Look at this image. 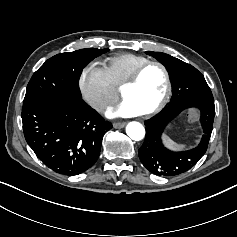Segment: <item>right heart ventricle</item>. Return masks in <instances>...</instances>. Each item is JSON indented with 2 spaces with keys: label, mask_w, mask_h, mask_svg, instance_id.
I'll return each mask as SVG.
<instances>
[{
  "label": "right heart ventricle",
  "mask_w": 237,
  "mask_h": 237,
  "mask_svg": "<svg viewBox=\"0 0 237 237\" xmlns=\"http://www.w3.org/2000/svg\"><path fill=\"white\" fill-rule=\"evenodd\" d=\"M149 61L144 56L123 53L107 58L104 69L112 85L121 87L140 66Z\"/></svg>",
  "instance_id": "right-heart-ventricle-1"
}]
</instances>
